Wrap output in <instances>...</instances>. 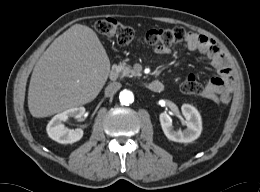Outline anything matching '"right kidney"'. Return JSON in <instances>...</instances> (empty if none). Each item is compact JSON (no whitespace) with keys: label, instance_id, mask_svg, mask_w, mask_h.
Listing matches in <instances>:
<instances>
[{"label":"right kidney","instance_id":"ca27d5eb","mask_svg":"<svg viewBox=\"0 0 260 192\" xmlns=\"http://www.w3.org/2000/svg\"><path fill=\"white\" fill-rule=\"evenodd\" d=\"M84 113V107H73L55 115L46 127L49 137L61 144H71L79 141L83 136V130L79 128L75 130L68 129L63 122L69 118H81Z\"/></svg>","mask_w":260,"mask_h":192}]
</instances>
